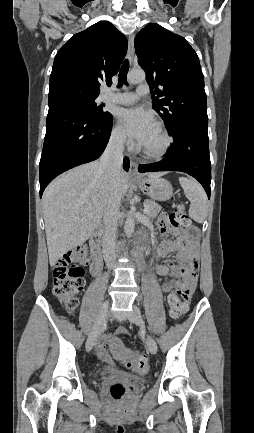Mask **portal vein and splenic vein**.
I'll return each mask as SVG.
<instances>
[{
  "label": "portal vein and splenic vein",
  "mask_w": 254,
  "mask_h": 433,
  "mask_svg": "<svg viewBox=\"0 0 254 433\" xmlns=\"http://www.w3.org/2000/svg\"><path fill=\"white\" fill-rule=\"evenodd\" d=\"M143 212H144V214H147L149 212V208L147 206H145Z\"/></svg>",
  "instance_id": "18ae733b"
}]
</instances>
